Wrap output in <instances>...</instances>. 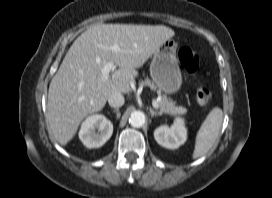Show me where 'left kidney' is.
<instances>
[{"label":"left kidney","instance_id":"5707ae66","mask_svg":"<svg viewBox=\"0 0 272 198\" xmlns=\"http://www.w3.org/2000/svg\"><path fill=\"white\" fill-rule=\"evenodd\" d=\"M157 143L168 149H177L187 139V129L183 118L177 117L171 127L166 125L158 127L154 131Z\"/></svg>","mask_w":272,"mask_h":198}]
</instances>
